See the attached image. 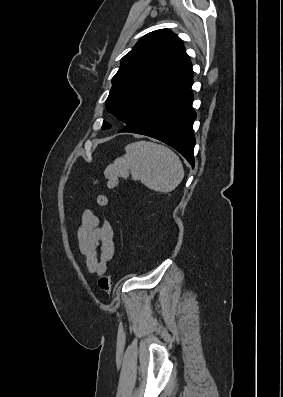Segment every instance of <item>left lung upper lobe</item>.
I'll use <instances>...</instances> for the list:
<instances>
[{"label": "left lung upper lobe", "mask_w": 283, "mask_h": 397, "mask_svg": "<svg viewBox=\"0 0 283 397\" xmlns=\"http://www.w3.org/2000/svg\"><path fill=\"white\" fill-rule=\"evenodd\" d=\"M193 79L183 41L168 29L142 37L121 60L106 110L127 125ZM109 125L104 121L103 128Z\"/></svg>", "instance_id": "1"}]
</instances>
